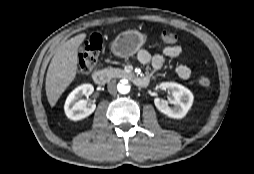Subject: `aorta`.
Returning a JSON list of instances; mask_svg holds the SVG:
<instances>
[{
    "label": "aorta",
    "mask_w": 254,
    "mask_h": 174,
    "mask_svg": "<svg viewBox=\"0 0 254 174\" xmlns=\"http://www.w3.org/2000/svg\"><path fill=\"white\" fill-rule=\"evenodd\" d=\"M130 85L127 80H121V82L118 84L117 89L118 92L121 94H127L130 91Z\"/></svg>",
    "instance_id": "aorta-1"
}]
</instances>
